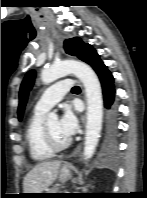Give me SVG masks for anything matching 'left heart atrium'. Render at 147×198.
<instances>
[{
  "label": "left heart atrium",
  "mask_w": 147,
  "mask_h": 198,
  "mask_svg": "<svg viewBox=\"0 0 147 198\" xmlns=\"http://www.w3.org/2000/svg\"><path fill=\"white\" fill-rule=\"evenodd\" d=\"M58 124L61 136L67 141L75 134L78 126L77 119L69 108L64 110Z\"/></svg>",
  "instance_id": "left-heart-atrium-1"
}]
</instances>
